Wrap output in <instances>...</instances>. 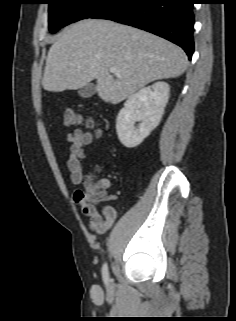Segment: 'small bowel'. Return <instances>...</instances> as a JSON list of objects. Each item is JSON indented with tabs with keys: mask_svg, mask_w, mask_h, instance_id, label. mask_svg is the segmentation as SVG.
<instances>
[{
	"mask_svg": "<svg viewBox=\"0 0 236 321\" xmlns=\"http://www.w3.org/2000/svg\"><path fill=\"white\" fill-rule=\"evenodd\" d=\"M93 139L92 132L82 129H76L67 134V140L70 143V154L66 166L70 180L74 185H79L84 180L82 160L86 157L85 147L91 144ZM98 183L107 194L111 186L109 179L102 178ZM74 201L81 207L82 212L89 217L87 225L92 231L103 233L111 227L116 219V210L110 205H102L98 209L96 205L82 199L76 191L74 193Z\"/></svg>",
	"mask_w": 236,
	"mask_h": 321,
	"instance_id": "1",
	"label": "small bowel"
}]
</instances>
